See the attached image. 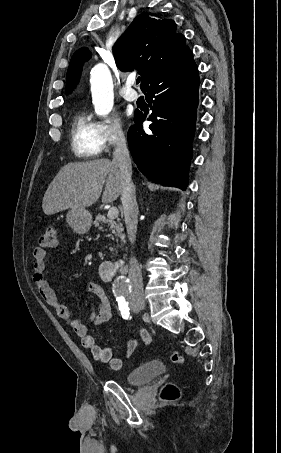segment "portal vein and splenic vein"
<instances>
[{
	"instance_id": "obj_1",
	"label": "portal vein and splenic vein",
	"mask_w": 281,
	"mask_h": 453,
	"mask_svg": "<svg viewBox=\"0 0 281 453\" xmlns=\"http://www.w3.org/2000/svg\"><path fill=\"white\" fill-rule=\"evenodd\" d=\"M119 214V210L117 208V206H111V208H108V218H111V220H113V218H117Z\"/></svg>"
}]
</instances>
